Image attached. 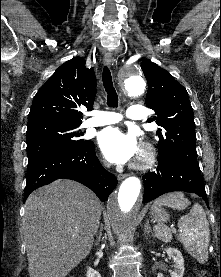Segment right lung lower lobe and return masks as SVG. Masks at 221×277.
<instances>
[{"instance_id": "1", "label": "right lung lower lobe", "mask_w": 221, "mask_h": 277, "mask_svg": "<svg viewBox=\"0 0 221 277\" xmlns=\"http://www.w3.org/2000/svg\"><path fill=\"white\" fill-rule=\"evenodd\" d=\"M59 178L84 184L101 201H106L117 185V178L106 171L96 157L94 143L88 141L66 153L44 157L28 165L24 202L33 190Z\"/></svg>"}]
</instances>
